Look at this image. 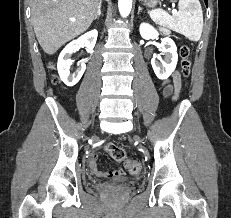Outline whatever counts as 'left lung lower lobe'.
<instances>
[{
  "instance_id": "1",
  "label": "left lung lower lobe",
  "mask_w": 231,
  "mask_h": 218,
  "mask_svg": "<svg viewBox=\"0 0 231 218\" xmlns=\"http://www.w3.org/2000/svg\"><path fill=\"white\" fill-rule=\"evenodd\" d=\"M204 1H205V4L207 5L208 0H204Z\"/></svg>"
}]
</instances>
